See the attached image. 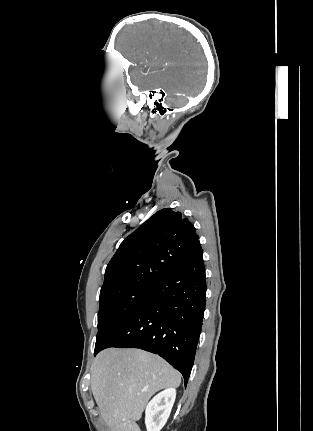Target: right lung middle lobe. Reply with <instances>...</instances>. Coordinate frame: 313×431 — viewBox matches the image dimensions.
<instances>
[{
  "label": "right lung middle lobe",
  "mask_w": 313,
  "mask_h": 431,
  "mask_svg": "<svg viewBox=\"0 0 313 431\" xmlns=\"http://www.w3.org/2000/svg\"><path fill=\"white\" fill-rule=\"evenodd\" d=\"M156 286L131 288L104 294L99 298L98 333L95 352L149 296Z\"/></svg>",
  "instance_id": "right-lung-middle-lobe-1"
}]
</instances>
